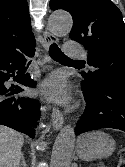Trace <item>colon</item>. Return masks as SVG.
<instances>
[{
	"label": "colon",
	"instance_id": "1",
	"mask_svg": "<svg viewBox=\"0 0 125 167\" xmlns=\"http://www.w3.org/2000/svg\"><path fill=\"white\" fill-rule=\"evenodd\" d=\"M118 167H125V147L120 151Z\"/></svg>",
	"mask_w": 125,
	"mask_h": 167
}]
</instances>
